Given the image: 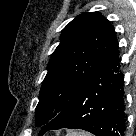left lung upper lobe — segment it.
Wrapping results in <instances>:
<instances>
[{
    "label": "left lung upper lobe",
    "instance_id": "left-lung-upper-lobe-1",
    "mask_svg": "<svg viewBox=\"0 0 136 136\" xmlns=\"http://www.w3.org/2000/svg\"><path fill=\"white\" fill-rule=\"evenodd\" d=\"M115 35L114 27L98 12L80 14L64 28L40 90L37 126L47 124L69 104L104 63Z\"/></svg>",
    "mask_w": 136,
    "mask_h": 136
}]
</instances>
